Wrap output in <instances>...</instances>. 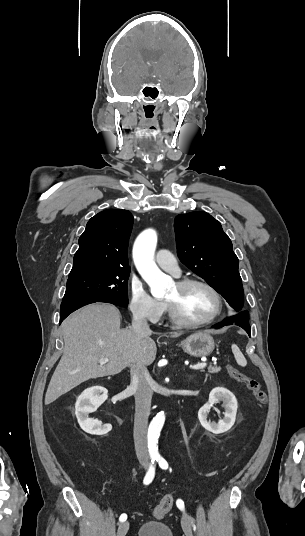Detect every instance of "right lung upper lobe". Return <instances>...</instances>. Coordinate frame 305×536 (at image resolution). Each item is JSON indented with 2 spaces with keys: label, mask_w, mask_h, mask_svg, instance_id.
I'll list each match as a JSON object with an SVG mask.
<instances>
[{
  "label": "right lung upper lobe",
  "mask_w": 305,
  "mask_h": 536,
  "mask_svg": "<svg viewBox=\"0 0 305 536\" xmlns=\"http://www.w3.org/2000/svg\"><path fill=\"white\" fill-rule=\"evenodd\" d=\"M132 225L133 216L128 210L108 209L92 217L79 238L69 277L130 270L127 248Z\"/></svg>",
  "instance_id": "obj_1"
}]
</instances>
